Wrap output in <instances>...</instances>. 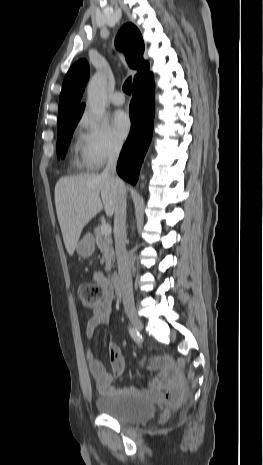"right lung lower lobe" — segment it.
I'll use <instances>...</instances> for the list:
<instances>
[{"mask_svg": "<svg viewBox=\"0 0 263 465\" xmlns=\"http://www.w3.org/2000/svg\"><path fill=\"white\" fill-rule=\"evenodd\" d=\"M132 94L131 131L120 153L117 172L126 181L136 184L153 133L154 80L152 73L133 83Z\"/></svg>", "mask_w": 263, "mask_h": 465, "instance_id": "1", "label": "right lung lower lobe"}]
</instances>
